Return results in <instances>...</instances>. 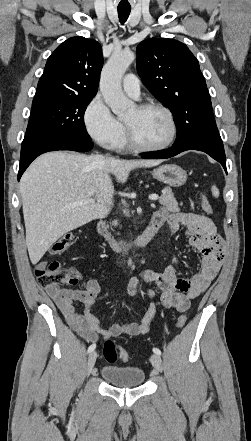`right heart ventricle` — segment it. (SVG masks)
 Here are the masks:
<instances>
[{"instance_id":"e07e8e85","label":"right heart ventricle","mask_w":251,"mask_h":441,"mask_svg":"<svg viewBox=\"0 0 251 441\" xmlns=\"http://www.w3.org/2000/svg\"><path fill=\"white\" fill-rule=\"evenodd\" d=\"M127 147H128V141H127V139H126L125 134H123V136L121 137L120 141L118 142V144L116 145L115 148H118V149H125V148H127Z\"/></svg>"}]
</instances>
